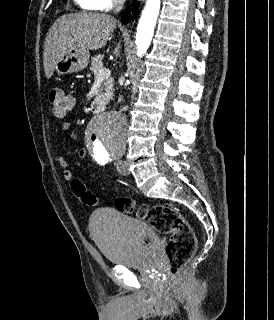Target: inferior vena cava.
<instances>
[{
  "label": "inferior vena cava",
  "instance_id": "602c4592",
  "mask_svg": "<svg viewBox=\"0 0 274 320\" xmlns=\"http://www.w3.org/2000/svg\"><path fill=\"white\" fill-rule=\"evenodd\" d=\"M126 0H114V12L115 14H119L121 10H123V6L125 4Z\"/></svg>",
  "mask_w": 274,
  "mask_h": 320
}]
</instances>
